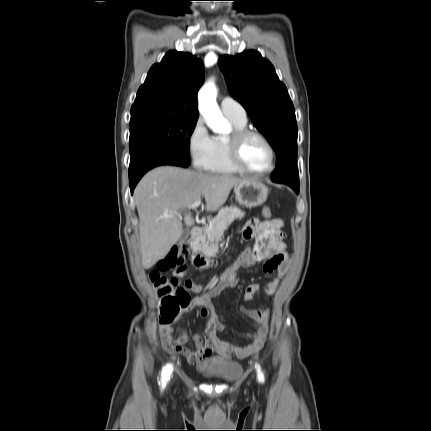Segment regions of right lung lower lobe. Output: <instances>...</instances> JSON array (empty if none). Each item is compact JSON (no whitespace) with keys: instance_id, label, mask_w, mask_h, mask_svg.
<instances>
[{"instance_id":"1","label":"right lung lower lobe","mask_w":431,"mask_h":431,"mask_svg":"<svg viewBox=\"0 0 431 431\" xmlns=\"http://www.w3.org/2000/svg\"><path fill=\"white\" fill-rule=\"evenodd\" d=\"M190 163L184 161L176 154L162 149L151 148L140 155L131 159L129 168L130 190L133 193L134 188L140 178L150 169L160 165H175L188 167Z\"/></svg>"}]
</instances>
